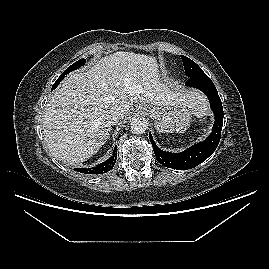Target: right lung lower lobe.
I'll return each instance as SVG.
<instances>
[{"instance_id":"obj_1","label":"right lung lower lobe","mask_w":269,"mask_h":269,"mask_svg":"<svg viewBox=\"0 0 269 269\" xmlns=\"http://www.w3.org/2000/svg\"><path fill=\"white\" fill-rule=\"evenodd\" d=\"M66 75V73H62L61 76L56 80V82L54 83V85L52 86V90L55 89L58 84L60 83V81L64 78V76ZM117 147H115L113 155L106 160L105 162L97 165L96 167L93 168H75V171L84 173V174H102V173H107L108 171H110L113 166L115 165L116 162V158H117Z\"/></svg>"}]
</instances>
